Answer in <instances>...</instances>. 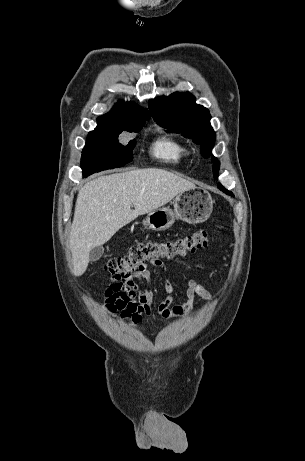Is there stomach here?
Returning a JSON list of instances; mask_svg holds the SVG:
<instances>
[{
    "instance_id": "1",
    "label": "stomach",
    "mask_w": 305,
    "mask_h": 461,
    "mask_svg": "<svg viewBox=\"0 0 305 461\" xmlns=\"http://www.w3.org/2000/svg\"><path fill=\"white\" fill-rule=\"evenodd\" d=\"M213 210V200L207 190L192 188L177 195L174 200V210L161 207L149 212L143 220L145 228L154 231H164L170 228L176 219L190 224L206 221Z\"/></svg>"
}]
</instances>
